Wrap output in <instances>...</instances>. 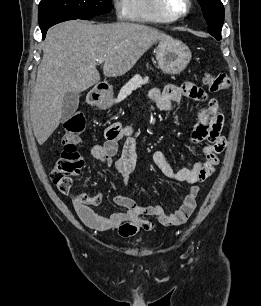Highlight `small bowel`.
<instances>
[{"instance_id": "obj_1", "label": "small bowel", "mask_w": 261, "mask_h": 306, "mask_svg": "<svg viewBox=\"0 0 261 306\" xmlns=\"http://www.w3.org/2000/svg\"><path fill=\"white\" fill-rule=\"evenodd\" d=\"M151 98L159 110L168 112L175 105L182 103L183 97H190L204 103L198 111L199 121L191 135L194 143L204 142L202 148L203 160L191 167L174 170L167 161L165 154L158 150L153 153V162L168 178L191 185L180 207L173 213L167 214L160 205H141L134 199L123 195L115 197V203L125 209L124 212L102 216L95 212L90 203L74 201V209L81 221L97 231L117 230L122 237H131L139 230L149 231L155 224L154 218L165 227L181 225L193 213L196 198L199 193L198 183L203 182L214 172L219 162V154L225 147L226 139L222 135L223 115L218 103L210 98L208 93L193 83L181 87H167L162 91L152 90ZM105 142L92 146L90 153L98 161L113 165L122 178L133 171L137 158V141L133 130L121 123H113L105 129ZM123 141L122 150L118 157V145ZM99 199L100 197L97 196Z\"/></svg>"}]
</instances>
